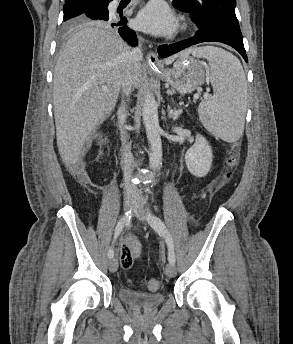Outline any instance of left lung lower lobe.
Returning a JSON list of instances; mask_svg holds the SVG:
<instances>
[{
  "mask_svg": "<svg viewBox=\"0 0 293 344\" xmlns=\"http://www.w3.org/2000/svg\"><path fill=\"white\" fill-rule=\"evenodd\" d=\"M203 42H221L227 44L236 49L242 55L244 60L248 62L243 40L236 39L223 31L213 28H199L195 36L190 39L171 45H161L158 47V53L161 58H166L187 47Z\"/></svg>",
  "mask_w": 293,
  "mask_h": 344,
  "instance_id": "left-lung-lower-lobe-1",
  "label": "left lung lower lobe"
}]
</instances>
